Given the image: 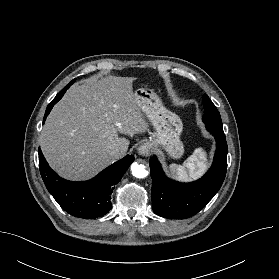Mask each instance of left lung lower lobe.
Wrapping results in <instances>:
<instances>
[{"instance_id": "left-lung-lower-lobe-1", "label": "left lung lower lobe", "mask_w": 279, "mask_h": 279, "mask_svg": "<svg viewBox=\"0 0 279 279\" xmlns=\"http://www.w3.org/2000/svg\"><path fill=\"white\" fill-rule=\"evenodd\" d=\"M216 139V153L209 171L192 183L166 177L156 156L149 160L152 177V209L164 218L185 219L198 213L220 189L227 170L228 147L225 135L209 131Z\"/></svg>"}]
</instances>
